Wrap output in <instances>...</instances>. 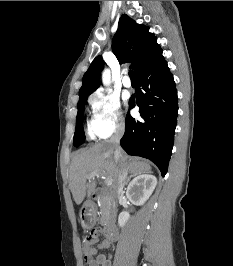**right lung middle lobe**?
Segmentation results:
<instances>
[{
  "mask_svg": "<svg viewBox=\"0 0 233 266\" xmlns=\"http://www.w3.org/2000/svg\"><path fill=\"white\" fill-rule=\"evenodd\" d=\"M86 100L87 97L79 99L78 102V113H77L76 128L73 140L74 146H79L83 144L85 141V135L83 130V116H84V106Z\"/></svg>",
  "mask_w": 233,
  "mask_h": 266,
  "instance_id": "1",
  "label": "right lung middle lobe"
}]
</instances>
